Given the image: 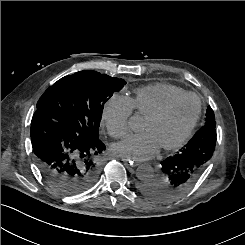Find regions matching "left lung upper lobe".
I'll use <instances>...</instances> for the list:
<instances>
[{"instance_id": "obj_1", "label": "left lung upper lobe", "mask_w": 245, "mask_h": 245, "mask_svg": "<svg viewBox=\"0 0 245 245\" xmlns=\"http://www.w3.org/2000/svg\"><path fill=\"white\" fill-rule=\"evenodd\" d=\"M204 126L216 127L214 112L210 106H208L206 111V121Z\"/></svg>"}]
</instances>
